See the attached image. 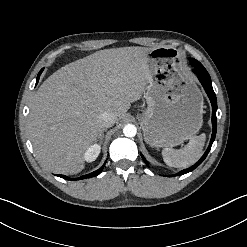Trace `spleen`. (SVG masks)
<instances>
[{
	"label": "spleen",
	"mask_w": 247,
	"mask_h": 247,
	"mask_svg": "<svg viewBox=\"0 0 247 247\" xmlns=\"http://www.w3.org/2000/svg\"><path fill=\"white\" fill-rule=\"evenodd\" d=\"M206 135L190 138L188 144L182 149L164 148L162 156L164 162L171 167L185 168L195 163L202 155Z\"/></svg>",
	"instance_id": "spleen-1"
}]
</instances>
